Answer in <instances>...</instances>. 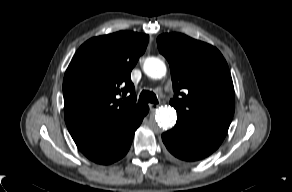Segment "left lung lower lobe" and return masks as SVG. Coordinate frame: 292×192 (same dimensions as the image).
I'll list each match as a JSON object with an SVG mask.
<instances>
[{
  "mask_svg": "<svg viewBox=\"0 0 292 192\" xmlns=\"http://www.w3.org/2000/svg\"><path fill=\"white\" fill-rule=\"evenodd\" d=\"M224 135L175 125L162 134L168 151L183 161H197L213 153L224 140Z\"/></svg>",
  "mask_w": 292,
  "mask_h": 192,
  "instance_id": "1",
  "label": "left lung lower lobe"
}]
</instances>
